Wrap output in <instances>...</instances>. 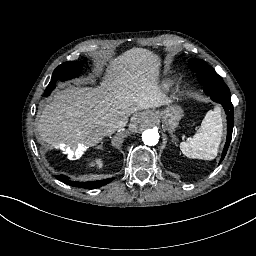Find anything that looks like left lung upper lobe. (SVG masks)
Here are the masks:
<instances>
[{"instance_id": "left-lung-upper-lobe-1", "label": "left lung upper lobe", "mask_w": 256, "mask_h": 256, "mask_svg": "<svg viewBox=\"0 0 256 256\" xmlns=\"http://www.w3.org/2000/svg\"><path fill=\"white\" fill-rule=\"evenodd\" d=\"M188 65L197 73L198 81L203 85L204 91L210 95L214 101L222 104L227 114V141L220 160L221 163L228 150L234 125L233 105L231 103L229 88L215 70L207 65L205 61L192 58Z\"/></svg>"}]
</instances>
